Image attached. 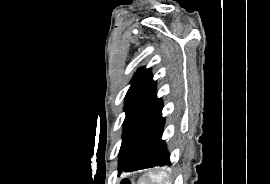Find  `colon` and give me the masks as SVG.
Listing matches in <instances>:
<instances>
[{
	"instance_id": "obj_1",
	"label": "colon",
	"mask_w": 270,
	"mask_h": 184,
	"mask_svg": "<svg viewBox=\"0 0 270 184\" xmlns=\"http://www.w3.org/2000/svg\"><path fill=\"white\" fill-rule=\"evenodd\" d=\"M121 184H132V183L130 182V180L124 179L122 180Z\"/></svg>"
}]
</instances>
